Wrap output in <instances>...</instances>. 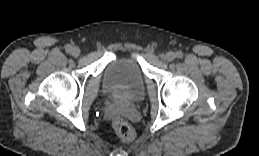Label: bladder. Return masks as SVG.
<instances>
[{
  "label": "bladder",
  "instance_id": "bladder-1",
  "mask_svg": "<svg viewBox=\"0 0 259 156\" xmlns=\"http://www.w3.org/2000/svg\"><path fill=\"white\" fill-rule=\"evenodd\" d=\"M145 78L135 57L122 56L107 66L103 77V90L128 102H134L144 95Z\"/></svg>",
  "mask_w": 259,
  "mask_h": 156
}]
</instances>
